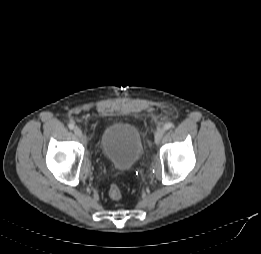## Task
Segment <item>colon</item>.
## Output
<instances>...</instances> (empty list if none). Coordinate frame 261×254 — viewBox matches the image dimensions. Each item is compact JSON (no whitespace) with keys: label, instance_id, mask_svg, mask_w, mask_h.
Instances as JSON below:
<instances>
[{"label":"colon","instance_id":"colon-1","mask_svg":"<svg viewBox=\"0 0 261 254\" xmlns=\"http://www.w3.org/2000/svg\"><path fill=\"white\" fill-rule=\"evenodd\" d=\"M109 197L112 199V200H119L122 196V193H121V190L120 188L118 187L117 184L115 183H112L110 185V188H109Z\"/></svg>","mask_w":261,"mask_h":254}]
</instances>
